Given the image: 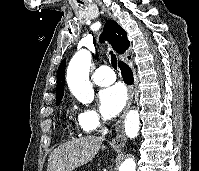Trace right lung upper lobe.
<instances>
[{
  "instance_id": "obj_1",
  "label": "right lung upper lobe",
  "mask_w": 199,
  "mask_h": 171,
  "mask_svg": "<svg viewBox=\"0 0 199 171\" xmlns=\"http://www.w3.org/2000/svg\"><path fill=\"white\" fill-rule=\"evenodd\" d=\"M104 31L105 34L100 37L101 42H103L104 39L108 40L112 48L120 54H123L128 50L130 42L127 39V33L115 21H107L104 27ZM65 62L66 60L64 59L58 68L56 100L62 99V96L64 95Z\"/></svg>"
}]
</instances>
